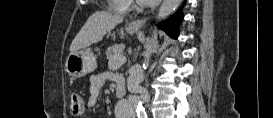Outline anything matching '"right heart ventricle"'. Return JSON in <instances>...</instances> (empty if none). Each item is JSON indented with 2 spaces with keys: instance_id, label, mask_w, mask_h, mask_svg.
I'll return each instance as SVG.
<instances>
[{
  "instance_id": "right-heart-ventricle-1",
  "label": "right heart ventricle",
  "mask_w": 273,
  "mask_h": 118,
  "mask_svg": "<svg viewBox=\"0 0 273 118\" xmlns=\"http://www.w3.org/2000/svg\"><path fill=\"white\" fill-rule=\"evenodd\" d=\"M113 9L119 13L125 12L128 9V2L123 0H111Z\"/></svg>"
}]
</instances>
